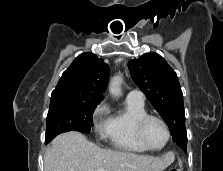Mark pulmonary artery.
Returning <instances> with one entry per match:
<instances>
[{
	"mask_svg": "<svg viewBox=\"0 0 223 171\" xmlns=\"http://www.w3.org/2000/svg\"><path fill=\"white\" fill-rule=\"evenodd\" d=\"M127 98L144 102V94L140 90H137V89H133L129 91Z\"/></svg>",
	"mask_w": 223,
	"mask_h": 171,
	"instance_id": "e3ab8cb5",
	"label": "pulmonary artery"
}]
</instances>
